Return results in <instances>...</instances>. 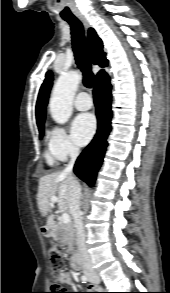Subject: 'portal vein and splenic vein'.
Wrapping results in <instances>:
<instances>
[{"mask_svg":"<svg viewBox=\"0 0 170 293\" xmlns=\"http://www.w3.org/2000/svg\"><path fill=\"white\" fill-rule=\"evenodd\" d=\"M57 202V197L51 198V205ZM71 221L69 214L63 213L61 216V222L64 224H68Z\"/></svg>","mask_w":170,"mask_h":293,"instance_id":"obj_1","label":"portal vein and splenic vein"}]
</instances>
